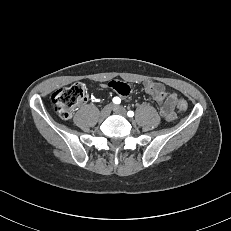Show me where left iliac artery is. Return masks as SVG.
I'll list each match as a JSON object with an SVG mask.
<instances>
[{"label": "left iliac artery", "instance_id": "obj_1", "mask_svg": "<svg viewBox=\"0 0 231 231\" xmlns=\"http://www.w3.org/2000/svg\"><path fill=\"white\" fill-rule=\"evenodd\" d=\"M127 115H128L129 117H133V116H134V112H133V111H128Z\"/></svg>", "mask_w": 231, "mask_h": 231}]
</instances>
